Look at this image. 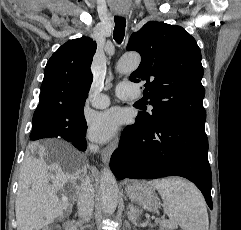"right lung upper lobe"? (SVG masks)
Returning <instances> with one entry per match:
<instances>
[{
	"label": "right lung upper lobe",
	"mask_w": 241,
	"mask_h": 230,
	"mask_svg": "<svg viewBox=\"0 0 241 230\" xmlns=\"http://www.w3.org/2000/svg\"><path fill=\"white\" fill-rule=\"evenodd\" d=\"M96 42L89 37L69 40L48 60L36 114L84 106L92 83L90 67Z\"/></svg>",
	"instance_id": "cb5924a9"
}]
</instances>
